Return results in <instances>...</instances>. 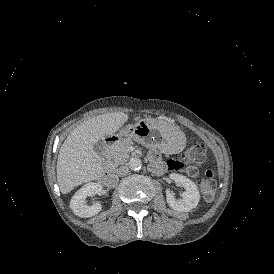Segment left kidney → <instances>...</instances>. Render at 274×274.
<instances>
[{"label": "left kidney", "mask_w": 274, "mask_h": 274, "mask_svg": "<svg viewBox=\"0 0 274 274\" xmlns=\"http://www.w3.org/2000/svg\"><path fill=\"white\" fill-rule=\"evenodd\" d=\"M169 177L185 188V192L181 194V199H176L170 190H166V199L169 206L179 212H188L195 208L200 200V193L195 183L186 176L177 173H171Z\"/></svg>", "instance_id": "obj_1"}]
</instances>
